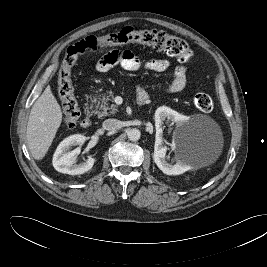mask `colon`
I'll list each match as a JSON object with an SVG mask.
<instances>
[{
	"label": "colon",
	"instance_id": "1",
	"mask_svg": "<svg viewBox=\"0 0 267 267\" xmlns=\"http://www.w3.org/2000/svg\"><path fill=\"white\" fill-rule=\"evenodd\" d=\"M127 43L151 46L157 51L165 52L177 58L182 63L190 61L193 55L188 43L179 37L162 30H135L131 27H125L100 37L89 36L68 47L58 72V93L63 106L64 122L68 127L75 126L80 117L72 83V67L78 57L102 47ZM193 104L201 112H209L213 108L212 98L202 92L195 94Z\"/></svg>",
	"mask_w": 267,
	"mask_h": 267
}]
</instances>
